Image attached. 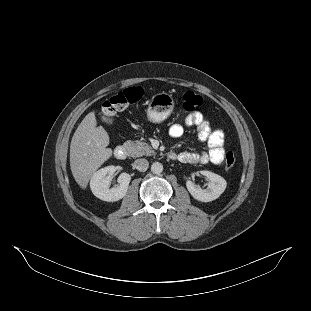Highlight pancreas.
Masks as SVG:
<instances>
[{"mask_svg":"<svg viewBox=\"0 0 311 311\" xmlns=\"http://www.w3.org/2000/svg\"><path fill=\"white\" fill-rule=\"evenodd\" d=\"M126 148L129 156L131 157H141L144 155H156V152L153 150L152 146L145 142H134L128 140L123 143Z\"/></svg>","mask_w":311,"mask_h":311,"instance_id":"obj_1","label":"pancreas"}]
</instances>
